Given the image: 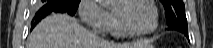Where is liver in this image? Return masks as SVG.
<instances>
[{
	"label": "liver",
	"mask_w": 213,
	"mask_h": 48,
	"mask_svg": "<svg viewBox=\"0 0 213 48\" xmlns=\"http://www.w3.org/2000/svg\"><path fill=\"white\" fill-rule=\"evenodd\" d=\"M26 48H147L149 41L113 43L100 38L65 14H51L32 30Z\"/></svg>",
	"instance_id": "obj_1"
}]
</instances>
